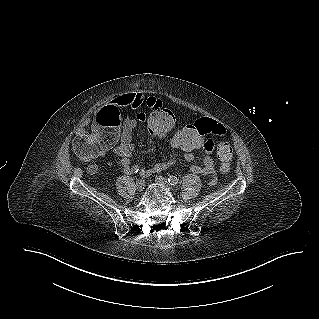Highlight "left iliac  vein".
I'll return each instance as SVG.
<instances>
[{
  "instance_id": "left-iliac-vein-1",
  "label": "left iliac vein",
  "mask_w": 319,
  "mask_h": 319,
  "mask_svg": "<svg viewBox=\"0 0 319 319\" xmlns=\"http://www.w3.org/2000/svg\"><path fill=\"white\" fill-rule=\"evenodd\" d=\"M155 180H156V182H157L159 185L165 187V188L168 189L169 191H172V187L170 186V184L168 183V181H167L164 177H162V176H157Z\"/></svg>"
}]
</instances>
